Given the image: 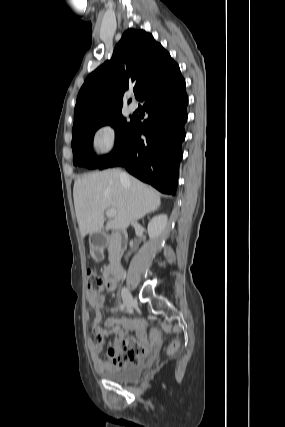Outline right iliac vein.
I'll use <instances>...</instances> for the list:
<instances>
[{
    "label": "right iliac vein",
    "mask_w": 285,
    "mask_h": 427,
    "mask_svg": "<svg viewBox=\"0 0 285 427\" xmlns=\"http://www.w3.org/2000/svg\"><path fill=\"white\" fill-rule=\"evenodd\" d=\"M121 295L126 308L128 310L131 309L134 304V299L130 291L127 288H123Z\"/></svg>",
    "instance_id": "63e3f726"
}]
</instances>
